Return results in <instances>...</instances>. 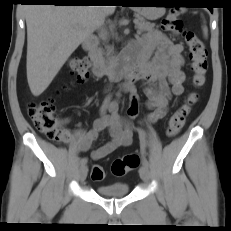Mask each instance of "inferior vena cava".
<instances>
[{"mask_svg":"<svg viewBox=\"0 0 231 231\" xmlns=\"http://www.w3.org/2000/svg\"><path fill=\"white\" fill-rule=\"evenodd\" d=\"M101 13H100V16H99V21L100 23L102 24L104 22V19H105V13L103 12L104 9H101Z\"/></svg>","mask_w":231,"mask_h":231,"instance_id":"1","label":"inferior vena cava"}]
</instances>
